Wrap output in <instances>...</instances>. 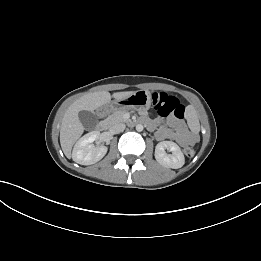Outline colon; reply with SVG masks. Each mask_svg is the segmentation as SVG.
I'll return each instance as SVG.
<instances>
[{
  "label": "colon",
  "instance_id": "5ec220e1",
  "mask_svg": "<svg viewBox=\"0 0 261 261\" xmlns=\"http://www.w3.org/2000/svg\"><path fill=\"white\" fill-rule=\"evenodd\" d=\"M153 106L157 112L162 116L172 115L175 118H182L184 116V107L179 100L165 92H155L153 94ZM188 157L194 156L196 152L195 146H189L184 150Z\"/></svg>",
  "mask_w": 261,
  "mask_h": 261
}]
</instances>
